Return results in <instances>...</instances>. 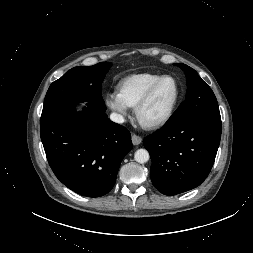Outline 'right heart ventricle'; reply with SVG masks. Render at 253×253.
<instances>
[{"instance_id":"right-heart-ventricle-1","label":"right heart ventricle","mask_w":253,"mask_h":253,"mask_svg":"<svg viewBox=\"0 0 253 253\" xmlns=\"http://www.w3.org/2000/svg\"><path fill=\"white\" fill-rule=\"evenodd\" d=\"M161 76L154 73H137L126 76L117 84L116 96L125 106L134 108Z\"/></svg>"}]
</instances>
